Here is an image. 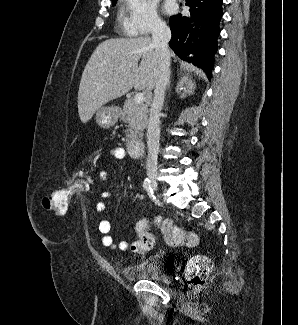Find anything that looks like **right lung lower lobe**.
Returning a JSON list of instances; mask_svg holds the SVG:
<instances>
[{
	"instance_id": "obj_1",
	"label": "right lung lower lobe",
	"mask_w": 298,
	"mask_h": 325,
	"mask_svg": "<svg viewBox=\"0 0 298 325\" xmlns=\"http://www.w3.org/2000/svg\"><path fill=\"white\" fill-rule=\"evenodd\" d=\"M223 0H186L190 15L172 16L169 20L172 38L170 47L183 60L203 69L209 78L217 51L219 22ZM189 54L194 57L188 58Z\"/></svg>"
}]
</instances>
